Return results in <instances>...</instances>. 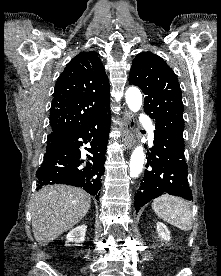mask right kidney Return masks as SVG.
I'll return each instance as SVG.
<instances>
[{"label": "right kidney", "instance_id": "obj_1", "mask_svg": "<svg viewBox=\"0 0 221 276\" xmlns=\"http://www.w3.org/2000/svg\"><path fill=\"white\" fill-rule=\"evenodd\" d=\"M87 226L80 225L72 229L66 236V246H70L71 243L80 245L85 240Z\"/></svg>", "mask_w": 221, "mask_h": 276}]
</instances>
